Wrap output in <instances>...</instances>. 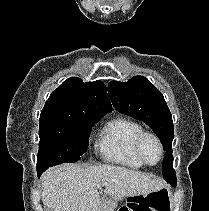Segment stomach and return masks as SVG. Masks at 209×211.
Segmentation results:
<instances>
[{"label": "stomach", "mask_w": 209, "mask_h": 211, "mask_svg": "<svg viewBox=\"0 0 209 211\" xmlns=\"http://www.w3.org/2000/svg\"><path fill=\"white\" fill-rule=\"evenodd\" d=\"M136 196H139V195H136ZM136 196H131L130 198H133V197H136Z\"/></svg>", "instance_id": "obj_1"}]
</instances>
